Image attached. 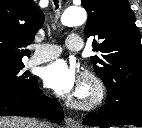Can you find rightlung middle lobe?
I'll list each match as a JSON object with an SVG mask.
<instances>
[{"label":"right lung middle lobe","mask_w":142,"mask_h":128,"mask_svg":"<svg viewBox=\"0 0 142 128\" xmlns=\"http://www.w3.org/2000/svg\"><path fill=\"white\" fill-rule=\"evenodd\" d=\"M23 64L0 65V96L17 95L30 91L36 83V78L23 72Z\"/></svg>","instance_id":"1"}]
</instances>
